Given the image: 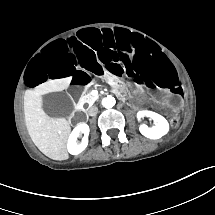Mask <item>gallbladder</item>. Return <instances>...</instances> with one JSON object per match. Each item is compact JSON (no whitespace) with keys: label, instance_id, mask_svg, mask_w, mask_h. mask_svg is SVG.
<instances>
[{"label":"gallbladder","instance_id":"gallbladder-1","mask_svg":"<svg viewBox=\"0 0 215 215\" xmlns=\"http://www.w3.org/2000/svg\"><path fill=\"white\" fill-rule=\"evenodd\" d=\"M42 108L50 116L68 117L74 110L73 101L61 91L48 92L42 97Z\"/></svg>","mask_w":215,"mask_h":215}]
</instances>
